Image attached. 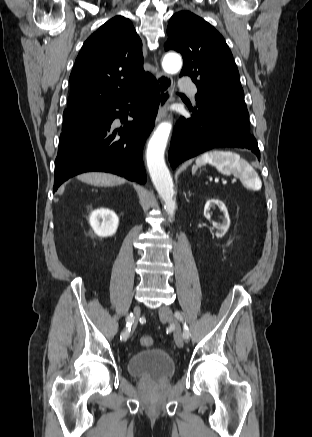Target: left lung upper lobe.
Returning <instances> with one entry per match:
<instances>
[{
  "label": "left lung upper lobe",
  "mask_w": 312,
  "mask_h": 437,
  "mask_svg": "<svg viewBox=\"0 0 312 437\" xmlns=\"http://www.w3.org/2000/svg\"><path fill=\"white\" fill-rule=\"evenodd\" d=\"M167 34L164 48L182 54L181 76H190L196 84L197 106H208L226 113L251 134L239 72L219 32L199 16L181 11L171 17Z\"/></svg>",
  "instance_id": "1"
}]
</instances>
